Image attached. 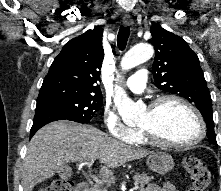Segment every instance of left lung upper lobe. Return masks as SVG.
<instances>
[{
	"mask_svg": "<svg viewBox=\"0 0 221 191\" xmlns=\"http://www.w3.org/2000/svg\"><path fill=\"white\" fill-rule=\"evenodd\" d=\"M150 32L152 38L149 41L156 50L152 65L156 87L194 103L206 121L208 138L217 145L212 100L198 56L183 38L159 24H154Z\"/></svg>",
	"mask_w": 221,
	"mask_h": 191,
	"instance_id": "1",
	"label": "left lung upper lobe"
}]
</instances>
